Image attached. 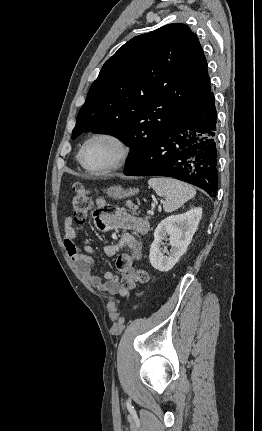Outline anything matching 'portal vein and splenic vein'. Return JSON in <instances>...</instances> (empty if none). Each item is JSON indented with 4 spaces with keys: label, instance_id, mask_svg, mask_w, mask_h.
<instances>
[{
    "label": "portal vein and splenic vein",
    "instance_id": "obj_1",
    "mask_svg": "<svg viewBox=\"0 0 262 431\" xmlns=\"http://www.w3.org/2000/svg\"><path fill=\"white\" fill-rule=\"evenodd\" d=\"M147 213H148L149 215H153V214H154V211H153V210H149Z\"/></svg>",
    "mask_w": 262,
    "mask_h": 431
}]
</instances>
